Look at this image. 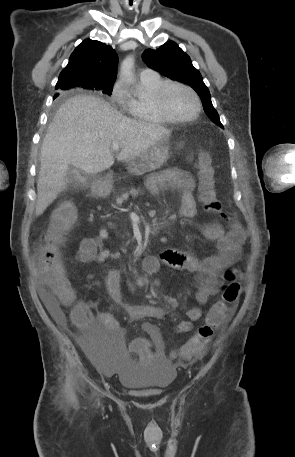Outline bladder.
Segmentation results:
<instances>
[{"label":"bladder","instance_id":"obj_1","mask_svg":"<svg viewBox=\"0 0 295 457\" xmlns=\"http://www.w3.org/2000/svg\"><path fill=\"white\" fill-rule=\"evenodd\" d=\"M81 356L103 372H112L126 388L146 394H155L172 382L175 371L172 358L164 352L163 345L153 346L152 366H132L131 358L120 351L121 338H78Z\"/></svg>","mask_w":295,"mask_h":457}]
</instances>
